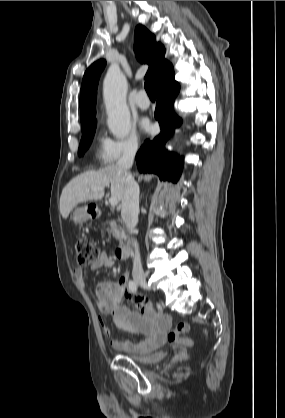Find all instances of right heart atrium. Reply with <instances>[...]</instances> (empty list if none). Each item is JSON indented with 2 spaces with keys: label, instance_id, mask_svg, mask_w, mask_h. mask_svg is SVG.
<instances>
[{
  "label": "right heart atrium",
  "instance_id": "right-heart-atrium-1",
  "mask_svg": "<svg viewBox=\"0 0 285 418\" xmlns=\"http://www.w3.org/2000/svg\"><path fill=\"white\" fill-rule=\"evenodd\" d=\"M139 148V135L132 129L123 138L106 140L101 155L102 161L106 165H116L122 160L134 157Z\"/></svg>",
  "mask_w": 285,
  "mask_h": 418
}]
</instances>
